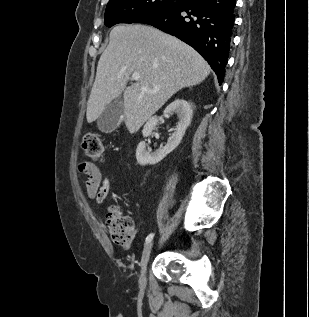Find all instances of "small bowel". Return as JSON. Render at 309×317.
Instances as JSON below:
<instances>
[{"instance_id": "c3829d8e", "label": "small bowel", "mask_w": 309, "mask_h": 317, "mask_svg": "<svg viewBox=\"0 0 309 317\" xmlns=\"http://www.w3.org/2000/svg\"><path fill=\"white\" fill-rule=\"evenodd\" d=\"M78 169L86 176L85 192L87 197L94 200L96 205L100 207L109 194L110 180L104 178L100 169L90 162H81Z\"/></svg>"}]
</instances>
